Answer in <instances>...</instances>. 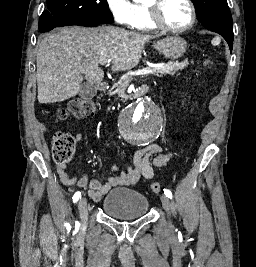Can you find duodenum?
Returning <instances> with one entry per match:
<instances>
[{"instance_id":"1","label":"duodenum","mask_w":256,"mask_h":267,"mask_svg":"<svg viewBox=\"0 0 256 267\" xmlns=\"http://www.w3.org/2000/svg\"><path fill=\"white\" fill-rule=\"evenodd\" d=\"M97 89H100L101 91H105L106 89H110V84H108L107 81H100L99 84H97ZM146 85H141L140 89H133V99H145L146 98Z\"/></svg>"}]
</instances>
